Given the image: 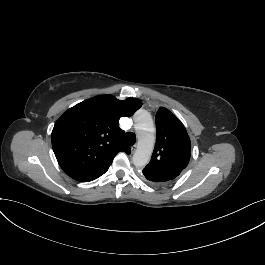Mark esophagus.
Returning a JSON list of instances; mask_svg holds the SVG:
<instances>
[{
	"mask_svg": "<svg viewBox=\"0 0 265 265\" xmlns=\"http://www.w3.org/2000/svg\"><path fill=\"white\" fill-rule=\"evenodd\" d=\"M136 147H137V145H134V146L131 148L132 152H134V151L136 150Z\"/></svg>",
	"mask_w": 265,
	"mask_h": 265,
	"instance_id": "obj_1",
	"label": "esophagus"
}]
</instances>
